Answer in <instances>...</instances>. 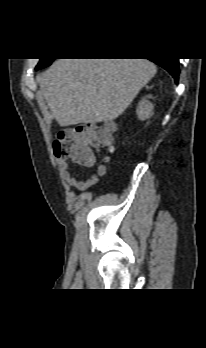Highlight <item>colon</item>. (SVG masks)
I'll return each instance as SVG.
<instances>
[{"label": "colon", "instance_id": "5ec220e1", "mask_svg": "<svg viewBox=\"0 0 206 348\" xmlns=\"http://www.w3.org/2000/svg\"><path fill=\"white\" fill-rule=\"evenodd\" d=\"M99 147H108L109 153L104 157V161H109L114 151L109 124H85L62 131L54 141L53 151L58 158L90 165L95 162L93 149Z\"/></svg>", "mask_w": 206, "mask_h": 348}]
</instances>
